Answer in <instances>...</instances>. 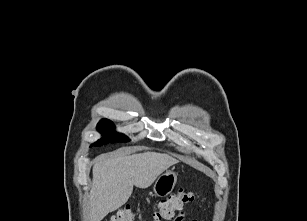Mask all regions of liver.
I'll return each mask as SVG.
<instances>
[{
  "label": "liver",
  "instance_id": "1",
  "mask_svg": "<svg viewBox=\"0 0 307 221\" xmlns=\"http://www.w3.org/2000/svg\"><path fill=\"white\" fill-rule=\"evenodd\" d=\"M177 162L167 154L156 152L96 159L90 191V221H101L128 201L133 186L149 187Z\"/></svg>",
  "mask_w": 307,
  "mask_h": 221
}]
</instances>
